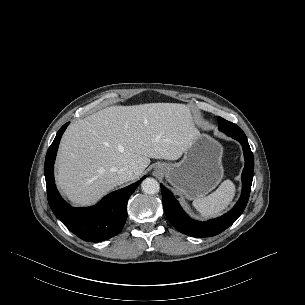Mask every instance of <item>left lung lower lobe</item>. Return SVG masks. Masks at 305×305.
<instances>
[{
	"label": "left lung lower lobe",
	"mask_w": 305,
	"mask_h": 305,
	"mask_svg": "<svg viewBox=\"0 0 305 305\" xmlns=\"http://www.w3.org/2000/svg\"><path fill=\"white\" fill-rule=\"evenodd\" d=\"M238 140L243 147L245 157V167L242 172V195L236 203L234 209L220 218L207 222H198L190 219L182 210L178 201L161 184L162 201L165 214L173 226L180 232L192 237H211L215 236L229 226L242 214L251 191L254 172V157L246 137L231 136Z\"/></svg>",
	"instance_id": "0a47b994"
}]
</instances>
